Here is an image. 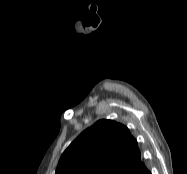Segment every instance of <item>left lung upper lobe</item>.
<instances>
[{"label": "left lung upper lobe", "mask_w": 187, "mask_h": 174, "mask_svg": "<svg viewBox=\"0 0 187 174\" xmlns=\"http://www.w3.org/2000/svg\"><path fill=\"white\" fill-rule=\"evenodd\" d=\"M144 168L128 128L99 120L64 151L55 174H136Z\"/></svg>", "instance_id": "1"}]
</instances>
